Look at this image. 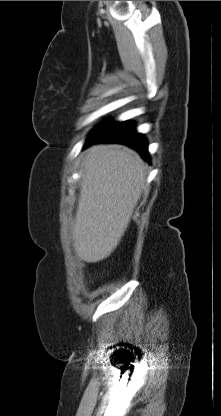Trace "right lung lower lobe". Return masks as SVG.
Masks as SVG:
<instances>
[{
	"mask_svg": "<svg viewBox=\"0 0 221 416\" xmlns=\"http://www.w3.org/2000/svg\"><path fill=\"white\" fill-rule=\"evenodd\" d=\"M101 142L126 144L137 150L144 159L149 161L147 141L141 134L136 133L132 122H109L102 125L88 137L84 148L93 143Z\"/></svg>",
	"mask_w": 221,
	"mask_h": 416,
	"instance_id": "right-lung-lower-lobe-1",
	"label": "right lung lower lobe"
}]
</instances>
